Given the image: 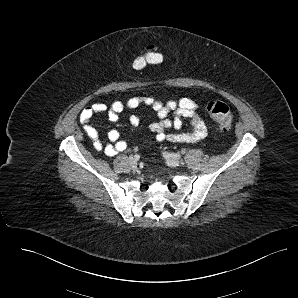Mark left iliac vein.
Wrapping results in <instances>:
<instances>
[{
    "label": "left iliac vein",
    "instance_id": "4c4485c4",
    "mask_svg": "<svg viewBox=\"0 0 298 298\" xmlns=\"http://www.w3.org/2000/svg\"><path fill=\"white\" fill-rule=\"evenodd\" d=\"M166 163L171 167H178L180 165L179 160L173 158H167Z\"/></svg>",
    "mask_w": 298,
    "mask_h": 298
}]
</instances>
